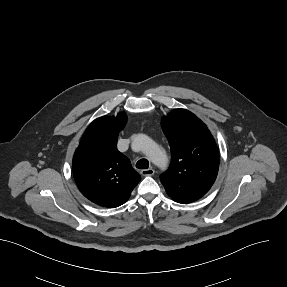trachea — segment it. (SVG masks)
Here are the masks:
<instances>
[{
  "label": "trachea",
  "mask_w": 287,
  "mask_h": 287,
  "mask_svg": "<svg viewBox=\"0 0 287 287\" xmlns=\"http://www.w3.org/2000/svg\"><path fill=\"white\" fill-rule=\"evenodd\" d=\"M136 167L138 169H147L149 167V162L147 159H140L137 163H136Z\"/></svg>",
  "instance_id": "1"
}]
</instances>
